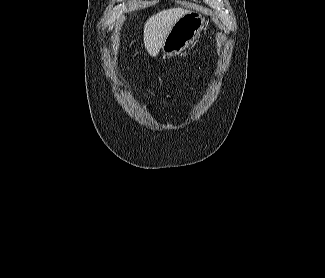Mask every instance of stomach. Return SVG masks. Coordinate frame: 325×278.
<instances>
[{"label":"stomach","instance_id":"1","mask_svg":"<svg viewBox=\"0 0 325 278\" xmlns=\"http://www.w3.org/2000/svg\"><path fill=\"white\" fill-rule=\"evenodd\" d=\"M201 15L189 12L179 18L170 29L162 45V51L168 57L181 54L200 36L204 29Z\"/></svg>","mask_w":325,"mask_h":278}]
</instances>
